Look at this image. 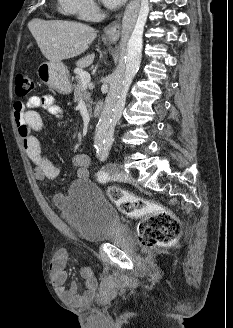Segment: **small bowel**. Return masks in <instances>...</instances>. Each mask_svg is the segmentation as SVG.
<instances>
[{
	"mask_svg": "<svg viewBox=\"0 0 233 328\" xmlns=\"http://www.w3.org/2000/svg\"><path fill=\"white\" fill-rule=\"evenodd\" d=\"M38 109H44L54 118H59L62 115V109L55 104L51 95L32 96L26 104L20 101L15 102L13 115L24 149L34 164V176L44 183L47 180L55 179L59 175L60 169L42 152L40 142L35 135L43 127ZM72 163L76 167L78 179L88 177L90 159L86 154L74 155ZM67 261L68 253L65 250H57L50 262L51 278L58 296L64 302L75 305L89 303L95 297L98 285L92 268L83 265L79 269L84 279V291L80 293L76 283H72L69 288L65 287L68 277Z\"/></svg>",
	"mask_w": 233,
	"mask_h": 328,
	"instance_id": "1",
	"label": "small bowel"
}]
</instances>
